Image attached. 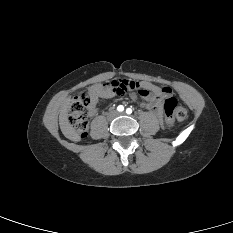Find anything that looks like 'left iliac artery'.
I'll use <instances>...</instances> for the list:
<instances>
[{"label": "left iliac artery", "mask_w": 233, "mask_h": 233, "mask_svg": "<svg viewBox=\"0 0 233 233\" xmlns=\"http://www.w3.org/2000/svg\"><path fill=\"white\" fill-rule=\"evenodd\" d=\"M126 113H127V114H131V113H132V109H131V108H127V109H126Z\"/></svg>", "instance_id": "1"}]
</instances>
